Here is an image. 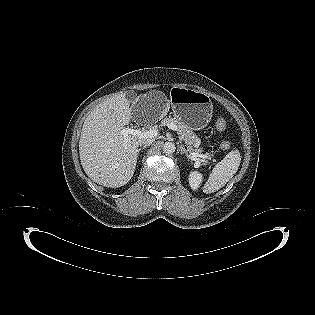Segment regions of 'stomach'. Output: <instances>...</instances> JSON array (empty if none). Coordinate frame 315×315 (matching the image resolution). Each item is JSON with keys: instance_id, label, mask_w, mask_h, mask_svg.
Instances as JSON below:
<instances>
[{"instance_id": "0dacf381", "label": "stomach", "mask_w": 315, "mask_h": 315, "mask_svg": "<svg viewBox=\"0 0 315 315\" xmlns=\"http://www.w3.org/2000/svg\"><path fill=\"white\" fill-rule=\"evenodd\" d=\"M169 100L174 116L190 129H203L210 122L213 105L210 96L205 92L185 87H173Z\"/></svg>"}]
</instances>
